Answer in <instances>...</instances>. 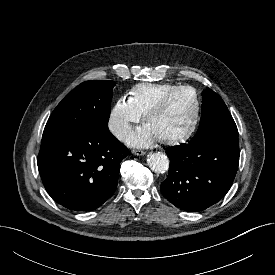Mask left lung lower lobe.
<instances>
[{
	"mask_svg": "<svg viewBox=\"0 0 275 275\" xmlns=\"http://www.w3.org/2000/svg\"><path fill=\"white\" fill-rule=\"evenodd\" d=\"M169 173L163 196L176 207L198 212L229 191L239 164V143L233 140L190 141L168 147Z\"/></svg>",
	"mask_w": 275,
	"mask_h": 275,
	"instance_id": "0a47b994",
	"label": "left lung lower lobe"
}]
</instances>
